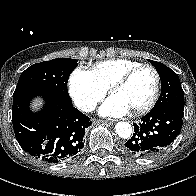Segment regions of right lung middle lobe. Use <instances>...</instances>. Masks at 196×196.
Wrapping results in <instances>:
<instances>
[{"label": "right lung middle lobe", "instance_id": "obj_1", "mask_svg": "<svg viewBox=\"0 0 196 196\" xmlns=\"http://www.w3.org/2000/svg\"><path fill=\"white\" fill-rule=\"evenodd\" d=\"M77 65L76 59L57 58L30 66L22 72L13 100L38 92H54L71 101L67 82L70 73Z\"/></svg>", "mask_w": 196, "mask_h": 196}]
</instances>
